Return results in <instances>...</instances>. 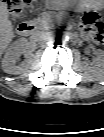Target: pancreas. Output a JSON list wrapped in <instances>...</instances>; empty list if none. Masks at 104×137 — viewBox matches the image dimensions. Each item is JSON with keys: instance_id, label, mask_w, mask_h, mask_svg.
Wrapping results in <instances>:
<instances>
[{"instance_id": "pancreas-1", "label": "pancreas", "mask_w": 104, "mask_h": 137, "mask_svg": "<svg viewBox=\"0 0 104 137\" xmlns=\"http://www.w3.org/2000/svg\"><path fill=\"white\" fill-rule=\"evenodd\" d=\"M62 19V15L57 14L55 16V20L57 23H60ZM54 20L49 15H43L40 18H37L33 21L34 25H37L41 28H45L46 26L50 27L53 24Z\"/></svg>"}]
</instances>
